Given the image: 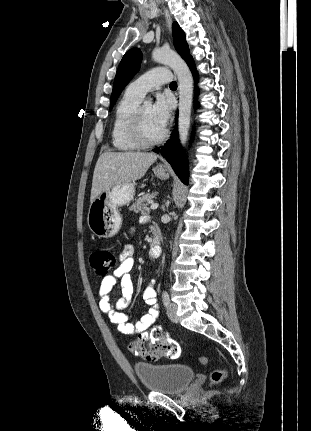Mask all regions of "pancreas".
Returning a JSON list of instances; mask_svg holds the SVG:
<instances>
[{
  "mask_svg": "<svg viewBox=\"0 0 311 431\" xmlns=\"http://www.w3.org/2000/svg\"><path fill=\"white\" fill-rule=\"evenodd\" d=\"M156 194H144V196H141V198H138L132 206L129 208V212H135V214H138V212H143V214H146V212H150L148 208V202L150 200H153L155 198Z\"/></svg>",
  "mask_w": 311,
  "mask_h": 431,
  "instance_id": "cf45deb5",
  "label": "pancreas"
}]
</instances>
